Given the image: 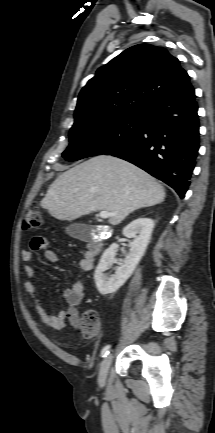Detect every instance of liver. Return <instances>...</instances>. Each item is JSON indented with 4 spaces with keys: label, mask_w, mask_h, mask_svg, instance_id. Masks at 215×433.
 I'll return each instance as SVG.
<instances>
[{
    "label": "liver",
    "mask_w": 215,
    "mask_h": 433,
    "mask_svg": "<svg viewBox=\"0 0 215 433\" xmlns=\"http://www.w3.org/2000/svg\"><path fill=\"white\" fill-rule=\"evenodd\" d=\"M165 189L142 169L110 155L93 157L63 172L49 187L41 206L59 220L108 211L118 225L131 212L164 201Z\"/></svg>",
    "instance_id": "6515ba94"
}]
</instances>
